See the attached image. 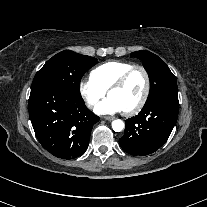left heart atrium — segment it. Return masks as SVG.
Returning <instances> with one entry per match:
<instances>
[{
  "label": "left heart atrium",
  "instance_id": "left-heart-atrium-1",
  "mask_svg": "<svg viewBox=\"0 0 207 207\" xmlns=\"http://www.w3.org/2000/svg\"><path fill=\"white\" fill-rule=\"evenodd\" d=\"M94 111L100 115H111L124 112V109L114 97L108 96L96 104Z\"/></svg>",
  "mask_w": 207,
  "mask_h": 207
}]
</instances>
